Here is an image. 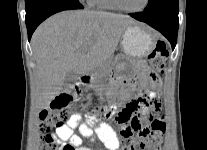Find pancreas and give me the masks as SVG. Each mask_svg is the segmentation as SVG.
Returning <instances> with one entry per match:
<instances>
[{"mask_svg":"<svg viewBox=\"0 0 207 150\" xmlns=\"http://www.w3.org/2000/svg\"><path fill=\"white\" fill-rule=\"evenodd\" d=\"M107 74V71L104 69V68H100V69H98V71H97V76L98 77H102V76H104V75H106Z\"/></svg>","mask_w":207,"mask_h":150,"instance_id":"obj_1","label":"pancreas"}]
</instances>
